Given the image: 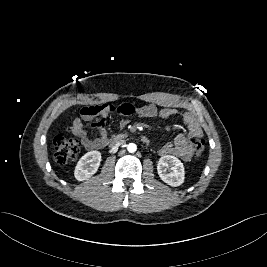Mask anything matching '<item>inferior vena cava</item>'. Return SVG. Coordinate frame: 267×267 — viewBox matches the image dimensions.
<instances>
[{"label": "inferior vena cava", "mask_w": 267, "mask_h": 267, "mask_svg": "<svg viewBox=\"0 0 267 267\" xmlns=\"http://www.w3.org/2000/svg\"><path fill=\"white\" fill-rule=\"evenodd\" d=\"M124 143V140L122 139H119V140H116L114 142H112L110 144V147L113 148V149H117L120 145H122Z\"/></svg>", "instance_id": "inferior-vena-cava-1"}]
</instances>
